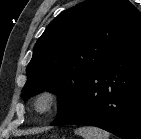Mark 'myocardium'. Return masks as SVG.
<instances>
[{
    "instance_id": "1",
    "label": "myocardium",
    "mask_w": 141,
    "mask_h": 139,
    "mask_svg": "<svg viewBox=\"0 0 141 139\" xmlns=\"http://www.w3.org/2000/svg\"><path fill=\"white\" fill-rule=\"evenodd\" d=\"M61 94L54 87H43L36 91L31 99V108L37 115L44 116L52 112L60 103Z\"/></svg>"
}]
</instances>
